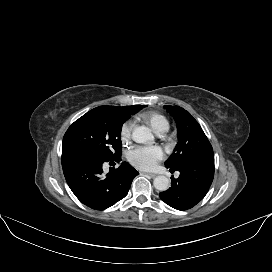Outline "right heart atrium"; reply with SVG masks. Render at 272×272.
<instances>
[{"instance_id": "obj_1", "label": "right heart atrium", "mask_w": 272, "mask_h": 272, "mask_svg": "<svg viewBox=\"0 0 272 272\" xmlns=\"http://www.w3.org/2000/svg\"><path fill=\"white\" fill-rule=\"evenodd\" d=\"M133 124L131 121H126L120 128V140L123 144H127L131 138Z\"/></svg>"}]
</instances>
